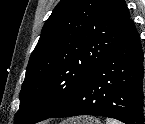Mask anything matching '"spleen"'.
<instances>
[{
	"instance_id": "3e777b00",
	"label": "spleen",
	"mask_w": 145,
	"mask_h": 124,
	"mask_svg": "<svg viewBox=\"0 0 145 124\" xmlns=\"http://www.w3.org/2000/svg\"><path fill=\"white\" fill-rule=\"evenodd\" d=\"M106 124H121L120 122L114 120V119H107Z\"/></svg>"
}]
</instances>
